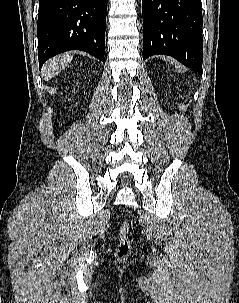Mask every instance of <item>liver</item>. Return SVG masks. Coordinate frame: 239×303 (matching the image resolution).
Instances as JSON below:
<instances>
[{"instance_id": "liver-1", "label": "liver", "mask_w": 239, "mask_h": 303, "mask_svg": "<svg viewBox=\"0 0 239 303\" xmlns=\"http://www.w3.org/2000/svg\"><path fill=\"white\" fill-rule=\"evenodd\" d=\"M73 55L66 53L50 59L44 66V80L48 81L56 76L72 61Z\"/></svg>"}]
</instances>
